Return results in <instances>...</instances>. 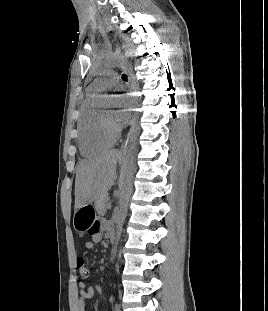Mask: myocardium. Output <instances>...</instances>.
Here are the masks:
<instances>
[{
	"label": "myocardium",
	"instance_id": "1",
	"mask_svg": "<svg viewBox=\"0 0 268 311\" xmlns=\"http://www.w3.org/2000/svg\"><path fill=\"white\" fill-rule=\"evenodd\" d=\"M102 119L104 123L105 130L108 134L117 137L120 134V127L115 122L112 116H108L106 114H102Z\"/></svg>",
	"mask_w": 268,
	"mask_h": 311
}]
</instances>
